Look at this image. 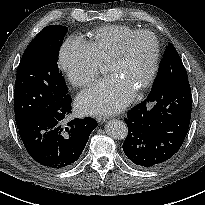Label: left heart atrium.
<instances>
[{
    "label": "left heart atrium",
    "mask_w": 205,
    "mask_h": 205,
    "mask_svg": "<svg viewBox=\"0 0 205 205\" xmlns=\"http://www.w3.org/2000/svg\"><path fill=\"white\" fill-rule=\"evenodd\" d=\"M134 95L135 91L128 84L111 75L82 92L76 107L84 114L114 113L126 107Z\"/></svg>",
    "instance_id": "1"
}]
</instances>
